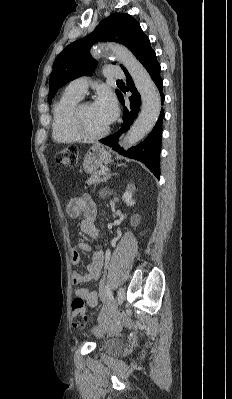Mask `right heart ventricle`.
<instances>
[{"instance_id":"right-heart-ventricle-1","label":"right heart ventricle","mask_w":232,"mask_h":399,"mask_svg":"<svg viewBox=\"0 0 232 399\" xmlns=\"http://www.w3.org/2000/svg\"><path fill=\"white\" fill-rule=\"evenodd\" d=\"M81 97L64 94L54 103L51 113V134L55 142L63 145H73L81 141L74 133L71 118L74 108Z\"/></svg>"}]
</instances>
